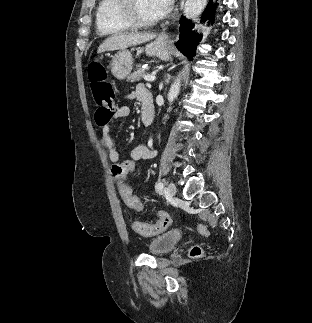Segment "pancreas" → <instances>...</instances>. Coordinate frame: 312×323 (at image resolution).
Returning <instances> with one entry per match:
<instances>
[{
    "instance_id": "obj_1",
    "label": "pancreas",
    "mask_w": 312,
    "mask_h": 323,
    "mask_svg": "<svg viewBox=\"0 0 312 323\" xmlns=\"http://www.w3.org/2000/svg\"><path fill=\"white\" fill-rule=\"evenodd\" d=\"M146 76L145 70L143 68H139L137 72H133V74H130L127 78V82H138V80H142Z\"/></svg>"
}]
</instances>
